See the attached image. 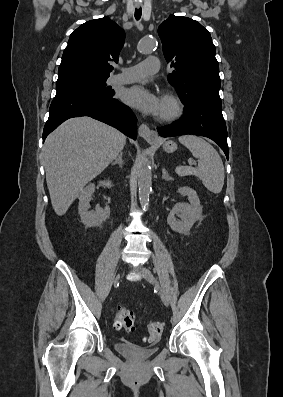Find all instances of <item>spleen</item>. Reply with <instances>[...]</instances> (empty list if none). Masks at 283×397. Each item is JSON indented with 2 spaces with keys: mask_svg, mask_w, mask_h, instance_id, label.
Here are the masks:
<instances>
[{
  "mask_svg": "<svg viewBox=\"0 0 283 397\" xmlns=\"http://www.w3.org/2000/svg\"><path fill=\"white\" fill-rule=\"evenodd\" d=\"M178 140L198 159V166H178L176 173L179 176L195 175L210 192L220 193L225 175L222 159L215 148L203 138L194 135L181 136Z\"/></svg>",
  "mask_w": 283,
  "mask_h": 397,
  "instance_id": "1",
  "label": "spleen"
}]
</instances>
